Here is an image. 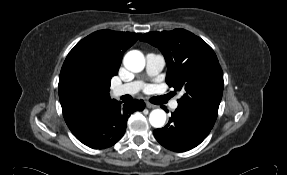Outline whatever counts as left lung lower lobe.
Wrapping results in <instances>:
<instances>
[{
    "label": "left lung lower lobe",
    "mask_w": 287,
    "mask_h": 175,
    "mask_svg": "<svg viewBox=\"0 0 287 175\" xmlns=\"http://www.w3.org/2000/svg\"><path fill=\"white\" fill-rule=\"evenodd\" d=\"M211 129L189 112L177 108L165 127L154 130V136L165 148L175 152H184L199 145Z\"/></svg>",
    "instance_id": "left-lung-lower-lobe-1"
}]
</instances>
